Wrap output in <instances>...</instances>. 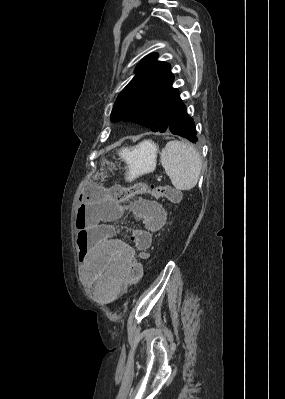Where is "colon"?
Masks as SVG:
<instances>
[{
    "label": "colon",
    "instance_id": "colon-1",
    "mask_svg": "<svg viewBox=\"0 0 285 399\" xmlns=\"http://www.w3.org/2000/svg\"><path fill=\"white\" fill-rule=\"evenodd\" d=\"M86 187L93 191H102L100 177H91ZM106 195L111 200H126L131 197L141 195H151L156 199L166 198L169 201H177L180 197L178 190L171 186H161L147 183H138L133 187H124L121 185H113L106 190ZM143 276V265L141 261L135 260L130 267V278L134 281L140 280Z\"/></svg>",
    "mask_w": 285,
    "mask_h": 399
}]
</instances>
